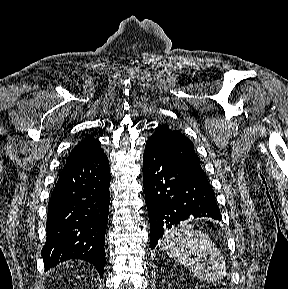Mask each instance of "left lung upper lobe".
Segmentation results:
<instances>
[{
  "instance_id": "obj_1",
  "label": "left lung upper lobe",
  "mask_w": 288,
  "mask_h": 289,
  "mask_svg": "<svg viewBox=\"0 0 288 289\" xmlns=\"http://www.w3.org/2000/svg\"><path fill=\"white\" fill-rule=\"evenodd\" d=\"M148 140L159 147L172 161L206 177L193 143L180 131L171 129L168 125H159Z\"/></svg>"
}]
</instances>
